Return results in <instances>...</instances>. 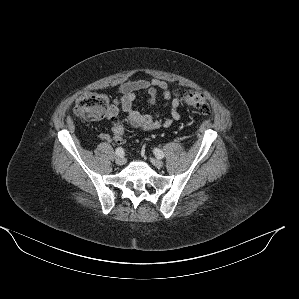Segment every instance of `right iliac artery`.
Masks as SVG:
<instances>
[{
	"mask_svg": "<svg viewBox=\"0 0 299 299\" xmlns=\"http://www.w3.org/2000/svg\"><path fill=\"white\" fill-rule=\"evenodd\" d=\"M116 155H118V156H122L123 154H124V149L123 148H121V147H118L117 149H116Z\"/></svg>",
	"mask_w": 299,
	"mask_h": 299,
	"instance_id": "obj_1",
	"label": "right iliac artery"
}]
</instances>
